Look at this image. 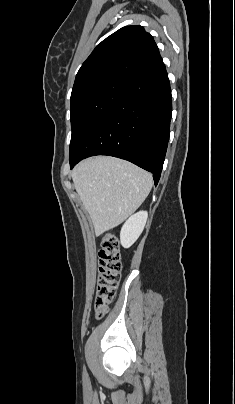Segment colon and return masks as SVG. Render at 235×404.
Masks as SVG:
<instances>
[{
  "label": "colon",
  "instance_id": "colon-1",
  "mask_svg": "<svg viewBox=\"0 0 235 404\" xmlns=\"http://www.w3.org/2000/svg\"><path fill=\"white\" fill-rule=\"evenodd\" d=\"M99 251V273L95 296V315L98 319L108 311L120 279L121 262L117 238L106 233L102 236Z\"/></svg>",
  "mask_w": 235,
  "mask_h": 404
}]
</instances>
